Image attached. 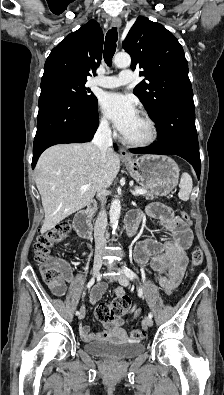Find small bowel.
<instances>
[{"mask_svg":"<svg viewBox=\"0 0 224 395\" xmlns=\"http://www.w3.org/2000/svg\"><path fill=\"white\" fill-rule=\"evenodd\" d=\"M146 212L148 215L157 218L166 229L173 232L174 236L171 240L164 243L155 239L139 242L135 247V259L141 266L149 264L155 272L154 279L156 282L165 292L170 293L178 286L183 277L187 264L186 249L190 245V233L184 222L176 217L169 207L161 204H151ZM72 279V271L67 266L64 279L57 283H48L47 286L53 294L62 296L66 290V282H71ZM104 290V284L97 285L91 294V301L97 302ZM116 293L123 295V288H117ZM138 312L139 309L136 304L132 305L128 311L133 317ZM124 323L125 320L123 318H117L105 323L106 329L102 336L106 337L108 333L121 329ZM80 334L86 340L95 338V335L87 325L80 326Z\"/></svg>","mask_w":224,"mask_h":395,"instance_id":"1","label":"small bowel"}]
</instances>
